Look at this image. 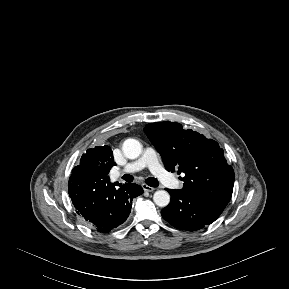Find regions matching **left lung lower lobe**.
I'll use <instances>...</instances> for the list:
<instances>
[{"label": "left lung lower lobe", "mask_w": 289, "mask_h": 289, "mask_svg": "<svg viewBox=\"0 0 289 289\" xmlns=\"http://www.w3.org/2000/svg\"><path fill=\"white\" fill-rule=\"evenodd\" d=\"M171 195L168 206L161 210L163 218L175 228L196 231L214 222L224 207L197 194L181 189H166Z\"/></svg>", "instance_id": "left-lung-lower-lobe-1"}]
</instances>
